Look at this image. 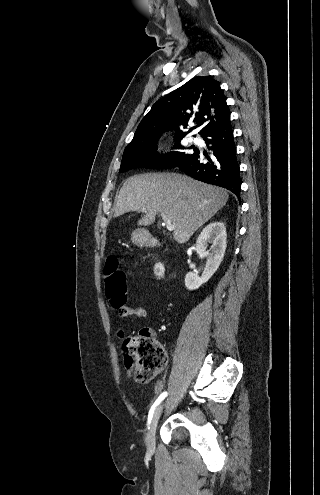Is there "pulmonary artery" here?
Masks as SVG:
<instances>
[{"instance_id": "e3ab8cb5", "label": "pulmonary artery", "mask_w": 320, "mask_h": 495, "mask_svg": "<svg viewBox=\"0 0 320 495\" xmlns=\"http://www.w3.org/2000/svg\"><path fill=\"white\" fill-rule=\"evenodd\" d=\"M194 142H199V139H198V138H195V139H194Z\"/></svg>"}]
</instances>
